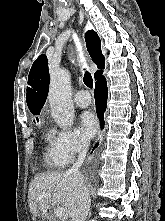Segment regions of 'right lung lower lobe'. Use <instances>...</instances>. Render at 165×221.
I'll return each mask as SVG.
<instances>
[{
  "instance_id": "98d812e1",
  "label": "right lung lower lobe",
  "mask_w": 165,
  "mask_h": 221,
  "mask_svg": "<svg viewBox=\"0 0 165 221\" xmlns=\"http://www.w3.org/2000/svg\"><path fill=\"white\" fill-rule=\"evenodd\" d=\"M95 103H96V110L98 117L100 119L101 126L104 125L103 115L106 110V103H107V96H108V90H107V82L104 76L100 77L95 82ZM98 144H96V147Z\"/></svg>"
}]
</instances>
